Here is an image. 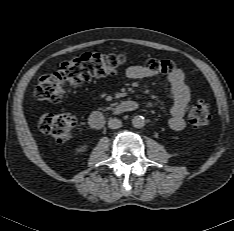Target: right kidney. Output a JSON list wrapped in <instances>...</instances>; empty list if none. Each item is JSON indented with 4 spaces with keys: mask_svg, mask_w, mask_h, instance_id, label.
I'll use <instances>...</instances> for the list:
<instances>
[{
    "mask_svg": "<svg viewBox=\"0 0 234 231\" xmlns=\"http://www.w3.org/2000/svg\"><path fill=\"white\" fill-rule=\"evenodd\" d=\"M87 149V146L84 145V146H81L80 148L77 149L78 152H83Z\"/></svg>",
    "mask_w": 234,
    "mask_h": 231,
    "instance_id": "right-kidney-1",
    "label": "right kidney"
}]
</instances>
